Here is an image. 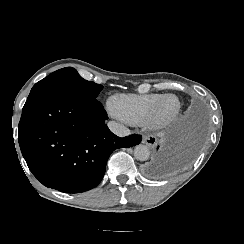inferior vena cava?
<instances>
[{
  "instance_id": "inferior-vena-cava-1",
  "label": "inferior vena cava",
  "mask_w": 244,
  "mask_h": 244,
  "mask_svg": "<svg viewBox=\"0 0 244 244\" xmlns=\"http://www.w3.org/2000/svg\"><path fill=\"white\" fill-rule=\"evenodd\" d=\"M108 128L116 135L120 137L128 136L130 134V130L122 124H119L115 121L108 122Z\"/></svg>"
}]
</instances>
